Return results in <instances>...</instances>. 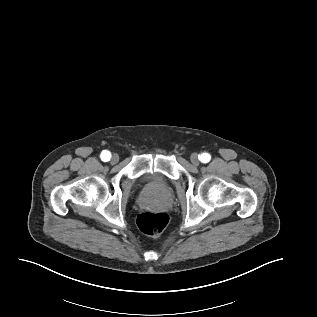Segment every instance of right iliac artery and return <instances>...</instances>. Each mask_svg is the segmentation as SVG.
Instances as JSON below:
<instances>
[{
  "mask_svg": "<svg viewBox=\"0 0 317 317\" xmlns=\"http://www.w3.org/2000/svg\"><path fill=\"white\" fill-rule=\"evenodd\" d=\"M100 157H101V159H102L103 161H105V162H106V161H109L110 158H111V153H110L109 151H107V150H104V151H102Z\"/></svg>",
  "mask_w": 317,
  "mask_h": 317,
  "instance_id": "obj_1",
  "label": "right iliac artery"
}]
</instances>
